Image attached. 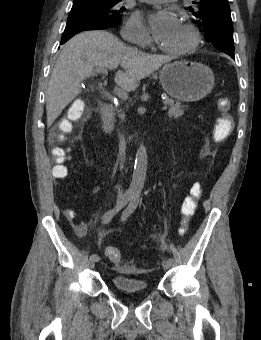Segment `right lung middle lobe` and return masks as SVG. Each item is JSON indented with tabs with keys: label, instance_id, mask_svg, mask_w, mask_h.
Returning <instances> with one entry per match:
<instances>
[{
	"label": "right lung middle lobe",
	"instance_id": "dd1d6c3e",
	"mask_svg": "<svg viewBox=\"0 0 261 340\" xmlns=\"http://www.w3.org/2000/svg\"><path fill=\"white\" fill-rule=\"evenodd\" d=\"M121 0L96 1L87 0L74 2L69 16L84 14L106 23L110 27H116L122 21V13L125 10L120 6Z\"/></svg>",
	"mask_w": 261,
	"mask_h": 340
}]
</instances>
